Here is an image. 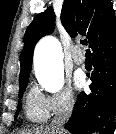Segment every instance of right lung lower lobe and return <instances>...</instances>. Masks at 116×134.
Returning a JSON list of instances; mask_svg holds the SVG:
<instances>
[{
  "instance_id": "98d812e1",
  "label": "right lung lower lobe",
  "mask_w": 116,
  "mask_h": 134,
  "mask_svg": "<svg viewBox=\"0 0 116 134\" xmlns=\"http://www.w3.org/2000/svg\"><path fill=\"white\" fill-rule=\"evenodd\" d=\"M91 92H81L65 127L73 134H113L116 114V31L93 46Z\"/></svg>"
}]
</instances>
